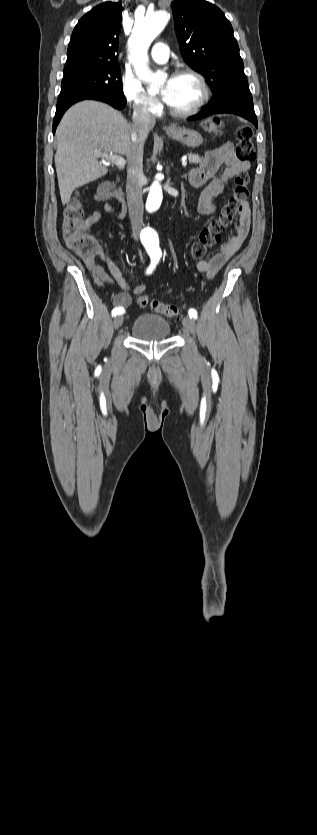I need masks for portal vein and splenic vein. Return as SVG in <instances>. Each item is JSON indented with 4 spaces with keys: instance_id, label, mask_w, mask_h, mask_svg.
<instances>
[{
    "instance_id": "obj_1",
    "label": "portal vein and splenic vein",
    "mask_w": 317,
    "mask_h": 835,
    "mask_svg": "<svg viewBox=\"0 0 317 835\" xmlns=\"http://www.w3.org/2000/svg\"><path fill=\"white\" fill-rule=\"evenodd\" d=\"M102 155H103V156H104L107 160H109L110 162H112V163L116 164L117 166H122V167H123V166H125V164H126V160H125L122 156H120V155L113 154V153H110V154H102ZM182 166H183L184 168H185V167H187V162H186V161H183V162H182Z\"/></svg>"
}]
</instances>
